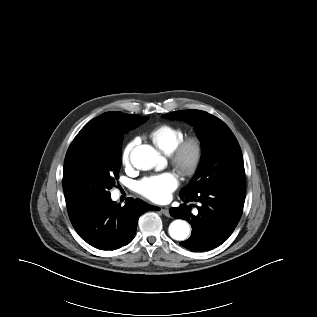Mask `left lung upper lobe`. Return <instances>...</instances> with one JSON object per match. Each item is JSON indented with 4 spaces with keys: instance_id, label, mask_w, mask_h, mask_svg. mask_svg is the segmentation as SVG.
Returning a JSON list of instances; mask_svg holds the SVG:
<instances>
[{
    "instance_id": "obj_1",
    "label": "left lung upper lobe",
    "mask_w": 317,
    "mask_h": 317,
    "mask_svg": "<svg viewBox=\"0 0 317 317\" xmlns=\"http://www.w3.org/2000/svg\"><path fill=\"white\" fill-rule=\"evenodd\" d=\"M192 124L202 141V160L192 181L180 196L198 194L217 184L245 183L243 156L230 128L217 117L200 110H182L163 115Z\"/></svg>"
}]
</instances>
